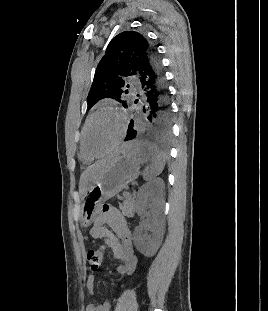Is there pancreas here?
I'll use <instances>...</instances> for the list:
<instances>
[{"label":"pancreas","instance_id":"1","mask_svg":"<svg viewBox=\"0 0 268 311\" xmlns=\"http://www.w3.org/2000/svg\"><path fill=\"white\" fill-rule=\"evenodd\" d=\"M122 213L127 217H133L135 212V199L128 195H124V201L119 204Z\"/></svg>","mask_w":268,"mask_h":311}]
</instances>
